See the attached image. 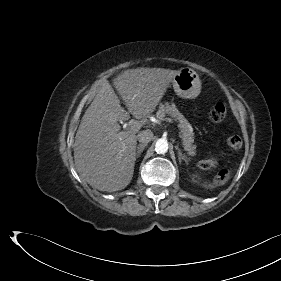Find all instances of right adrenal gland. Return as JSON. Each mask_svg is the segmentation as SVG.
I'll return each instance as SVG.
<instances>
[{
  "label": "right adrenal gland",
  "mask_w": 281,
  "mask_h": 281,
  "mask_svg": "<svg viewBox=\"0 0 281 281\" xmlns=\"http://www.w3.org/2000/svg\"><path fill=\"white\" fill-rule=\"evenodd\" d=\"M146 147V144H139L137 146V149H136V155H135V160L136 158H139L141 153L144 151V148Z\"/></svg>",
  "instance_id": "obj_1"
}]
</instances>
